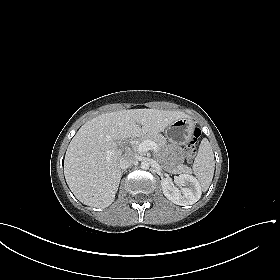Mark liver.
<instances>
[{
  "instance_id": "1",
  "label": "liver",
  "mask_w": 280,
  "mask_h": 280,
  "mask_svg": "<svg viewBox=\"0 0 280 280\" xmlns=\"http://www.w3.org/2000/svg\"><path fill=\"white\" fill-rule=\"evenodd\" d=\"M181 118L188 115L158 109H123L86 122L71 140L64 159V175L72 193L91 207L111 205L122 176V151L117 141L158 134ZM108 151L112 152L109 161Z\"/></svg>"
}]
</instances>
